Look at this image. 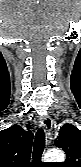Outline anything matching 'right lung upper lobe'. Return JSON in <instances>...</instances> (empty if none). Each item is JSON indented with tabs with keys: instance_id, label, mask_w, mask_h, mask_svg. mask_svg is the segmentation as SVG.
<instances>
[{
	"instance_id": "cb5924a9",
	"label": "right lung upper lobe",
	"mask_w": 81,
	"mask_h": 167,
	"mask_svg": "<svg viewBox=\"0 0 81 167\" xmlns=\"http://www.w3.org/2000/svg\"><path fill=\"white\" fill-rule=\"evenodd\" d=\"M33 133L13 125L0 131V167H30Z\"/></svg>"
}]
</instances>
